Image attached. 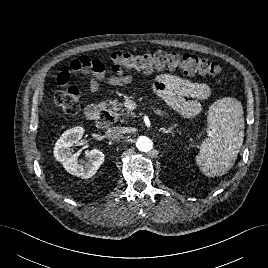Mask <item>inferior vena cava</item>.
Instances as JSON below:
<instances>
[{
	"instance_id": "1",
	"label": "inferior vena cava",
	"mask_w": 268,
	"mask_h": 268,
	"mask_svg": "<svg viewBox=\"0 0 268 268\" xmlns=\"http://www.w3.org/2000/svg\"><path fill=\"white\" fill-rule=\"evenodd\" d=\"M106 137L110 140H119L123 136L122 128L118 126L110 127L106 132Z\"/></svg>"
}]
</instances>
